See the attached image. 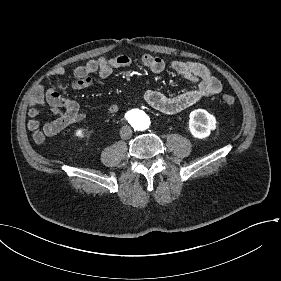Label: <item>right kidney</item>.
I'll use <instances>...</instances> for the list:
<instances>
[{"label":"right kidney","instance_id":"1","mask_svg":"<svg viewBox=\"0 0 281 281\" xmlns=\"http://www.w3.org/2000/svg\"><path fill=\"white\" fill-rule=\"evenodd\" d=\"M74 136L78 139V140H84L86 138V129L81 127L78 128L74 131Z\"/></svg>","mask_w":281,"mask_h":281}]
</instances>
